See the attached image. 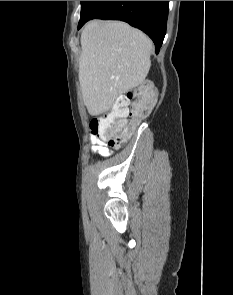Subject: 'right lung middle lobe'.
<instances>
[{
  "instance_id": "right-lung-middle-lobe-1",
  "label": "right lung middle lobe",
  "mask_w": 233,
  "mask_h": 295,
  "mask_svg": "<svg viewBox=\"0 0 233 295\" xmlns=\"http://www.w3.org/2000/svg\"><path fill=\"white\" fill-rule=\"evenodd\" d=\"M89 2L90 1H81V15L83 14V12H84V10H85V8H86V6L88 5ZM81 15H80V17H81Z\"/></svg>"
}]
</instances>
